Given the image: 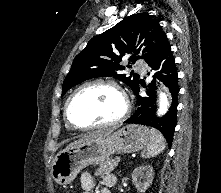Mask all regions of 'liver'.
<instances>
[{
    "label": "liver",
    "mask_w": 221,
    "mask_h": 193,
    "mask_svg": "<svg viewBox=\"0 0 221 193\" xmlns=\"http://www.w3.org/2000/svg\"><path fill=\"white\" fill-rule=\"evenodd\" d=\"M110 132H111L110 130H98V131L89 133L88 135H85L81 139L76 140V141L70 143L65 149H68V148H70L72 146H76L78 144H81V143H83L86 140H91V139H94L96 137H100V136L106 135V134H108Z\"/></svg>",
    "instance_id": "1"
}]
</instances>
